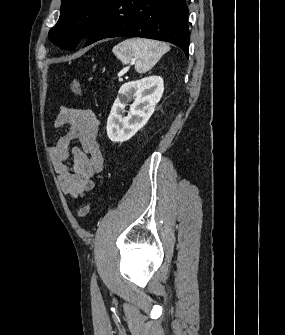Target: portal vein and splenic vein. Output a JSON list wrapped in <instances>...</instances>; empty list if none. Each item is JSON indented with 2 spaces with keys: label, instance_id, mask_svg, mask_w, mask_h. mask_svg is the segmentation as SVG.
I'll use <instances>...</instances> for the list:
<instances>
[{
  "label": "portal vein and splenic vein",
  "instance_id": "18ae733b",
  "mask_svg": "<svg viewBox=\"0 0 285 335\" xmlns=\"http://www.w3.org/2000/svg\"><path fill=\"white\" fill-rule=\"evenodd\" d=\"M119 78H121L120 74H118Z\"/></svg>",
  "mask_w": 285,
  "mask_h": 335
}]
</instances>
